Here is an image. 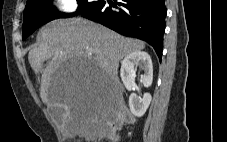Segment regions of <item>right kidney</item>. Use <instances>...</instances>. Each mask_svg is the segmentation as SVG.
I'll use <instances>...</instances> for the list:
<instances>
[{"mask_svg":"<svg viewBox=\"0 0 227 142\" xmlns=\"http://www.w3.org/2000/svg\"><path fill=\"white\" fill-rule=\"evenodd\" d=\"M137 66L144 71L140 78V82L144 87L151 86L153 81V66L149 54L144 51L133 52L124 58L120 69L122 82L129 91L136 88L134 80ZM151 99L152 97L149 93H145L142 98L136 93H131L129 107L132 114L136 117H142L148 109Z\"/></svg>","mask_w":227,"mask_h":142,"instance_id":"right-kidney-1","label":"right kidney"}]
</instances>
